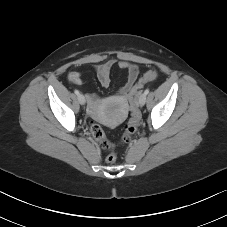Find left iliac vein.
I'll return each instance as SVG.
<instances>
[{
	"label": "left iliac vein",
	"mask_w": 227,
	"mask_h": 227,
	"mask_svg": "<svg viewBox=\"0 0 227 227\" xmlns=\"http://www.w3.org/2000/svg\"><path fill=\"white\" fill-rule=\"evenodd\" d=\"M146 102V95L143 93L140 95L139 99H138V103L140 106H143Z\"/></svg>",
	"instance_id": "1"
}]
</instances>
